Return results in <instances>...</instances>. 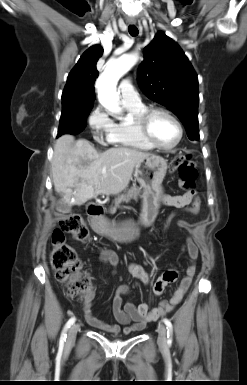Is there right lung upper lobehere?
I'll use <instances>...</instances> for the list:
<instances>
[{
  "label": "right lung upper lobe",
  "instance_id": "cb5924a9",
  "mask_svg": "<svg viewBox=\"0 0 247 385\" xmlns=\"http://www.w3.org/2000/svg\"><path fill=\"white\" fill-rule=\"evenodd\" d=\"M102 54L103 48L100 45H94L83 53L67 78L62 93V104H94L93 84L98 76L96 63Z\"/></svg>",
  "mask_w": 247,
  "mask_h": 385
}]
</instances>
